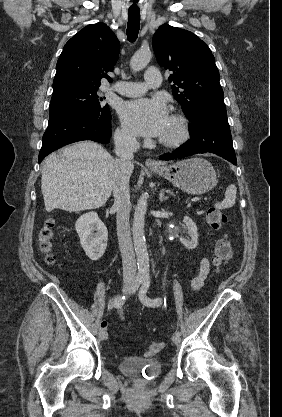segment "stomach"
<instances>
[{
    "instance_id": "0dacf381",
    "label": "stomach",
    "mask_w": 282,
    "mask_h": 417,
    "mask_svg": "<svg viewBox=\"0 0 282 417\" xmlns=\"http://www.w3.org/2000/svg\"><path fill=\"white\" fill-rule=\"evenodd\" d=\"M152 170L188 194H204L214 188L218 182L211 162L200 156L178 160L173 164H163Z\"/></svg>"
}]
</instances>
